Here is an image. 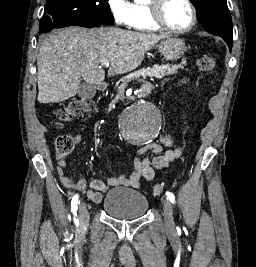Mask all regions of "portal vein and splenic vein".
Here are the masks:
<instances>
[{
    "instance_id": "obj_1",
    "label": "portal vein and splenic vein",
    "mask_w": 256,
    "mask_h": 267,
    "mask_svg": "<svg viewBox=\"0 0 256 267\" xmlns=\"http://www.w3.org/2000/svg\"><path fill=\"white\" fill-rule=\"evenodd\" d=\"M101 66H109L108 62H101ZM134 76H137V73H134Z\"/></svg>"
}]
</instances>
